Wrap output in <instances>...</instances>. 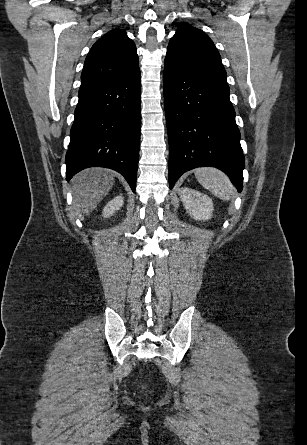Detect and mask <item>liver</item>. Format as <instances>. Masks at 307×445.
Wrapping results in <instances>:
<instances>
[{
    "label": "liver",
    "mask_w": 307,
    "mask_h": 445,
    "mask_svg": "<svg viewBox=\"0 0 307 445\" xmlns=\"http://www.w3.org/2000/svg\"><path fill=\"white\" fill-rule=\"evenodd\" d=\"M73 194L76 208L83 214H90L98 202L110 192L114 178L108 168H85L72 178Z\"/></svg>",
    "instance_id": "obj_1"
}]
</instances>
